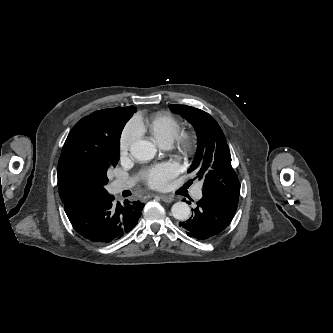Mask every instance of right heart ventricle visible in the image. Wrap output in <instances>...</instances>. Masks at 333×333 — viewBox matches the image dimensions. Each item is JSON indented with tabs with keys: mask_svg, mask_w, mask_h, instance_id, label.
<instances>
[{
	"mask_svg": "<svg viewBox=\"0 0 333 333\" xmlns=\"http://www.w3.org/2000/svg\"><path fill=\"white\" fill-rule=\"evenodd\" d=\"M145 127L155 142L162 146L172 145L182 131L180 121L169 113L154 115Z\"/></svg>",
	"mask_w": 333,
	"mask_h": 333,
	"instance_id": "1",
	"label": "right heart ventricle"
}]
</instances>
